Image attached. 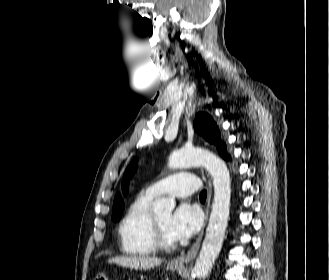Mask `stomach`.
Returning <instances> with one entry per match:
<instances>
[{
  "label": "stomach",
  "instance_id": "0dacf381",
  "mask_svg": "<svg viewBox=\"0 0 329 280\" xmlns=\"http://www.w3.org/2000/svg\"><path fill=\"white\" fill-rule=\"evenodd\" d=\"M181 266L168 265L167 269L170 271L178 270ZM94 280H108V277L104 273H100L96 276Z\"/></svg>",
  "mask_w": 329,
  "mask_h": 280
}]
</instances>
